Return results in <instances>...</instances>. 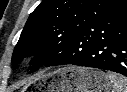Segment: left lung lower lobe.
Segmentation results:
<instances>
[{"instance_id":"1","label":"left lung lower lobe","mask_w":127,"mask_h":92,"mask_svg":"<svg viewBox=\"0 0 127 92\" xmlns=\"http://www.w3.org/2000/svg\"><path fill=\"white\" fill-rule=\"evenodd\" d=\"M66 64L127 76V0L76 34L60 55L46 66Z\"/></svg>"}]
</instances>
